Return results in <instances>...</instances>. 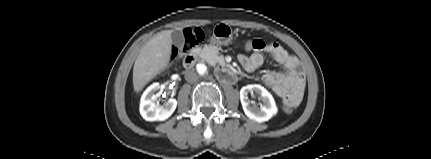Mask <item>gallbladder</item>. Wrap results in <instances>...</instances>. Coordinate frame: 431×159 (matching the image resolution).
Listing matches in <instances>:
<instances>
[{"mask_svg": "<svg viewBox=\"0 0 431 159\" xmlns=\"http://www.w3.org/2000/svg\"><path fill=\"white\" fill-rule=\"evenodd\" d=\"M171 38H172L173 44L175 46H177L178 48L183 47V45L185 43V39H184V35L181 31H179V30L172 31Z\"/></svg>", "mask_w": 431, "mask_h": 159, "instance_id": "1", "label": "gallbladder"}]
</instances>
